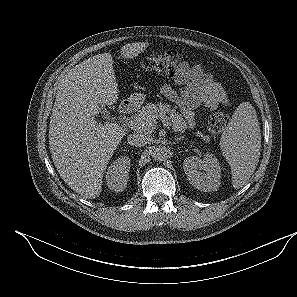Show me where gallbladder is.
<instances>
[{
  "label": "gallbladder",
  "mask_w": 297,
  "mask_h": 297,
  "mask_svg": "<svg viewBox=\"0 0 297 297\" xmlns=\"http://www.w3.org/2000/svg\"><path fill=\"white\" fill-rule=\"evenodd\" d=\"M100 107H101V109L103 110L102 112H103L104 114H107V111H106V109H105V108H103V106H101V105H100Z\"/></svg>",
  "instance_id": "bac80fb5"
}]
</instances>
